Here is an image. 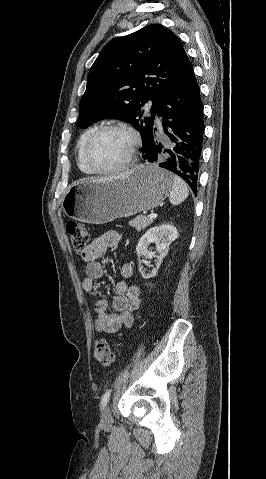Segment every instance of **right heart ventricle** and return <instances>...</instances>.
Instances as JSON below:
<instances>
[{"label": "right heart ventricle", "mask_w": 266, "mask_h": 479, "mask_svg": "<svg viewBox=\"0 0 266 479\" xmlns=\"http://www.w3.org/2000/svg\"><path fill=\"white\" fill-rule=\"evenodd\" d=\"M97 129V126H91L89 127L88 129H86L82 134L81 136L79 137L78 139V143H77V166L79 168V170L84 173V174H87V175H91L93 174L88 168L87 166L85 165L84 163V160H83V149H84V146H85V143L88 139V137L91 135V133L93 131H95Z\"/></svg>", "instance_id": "obj_1"}]
</instances>
